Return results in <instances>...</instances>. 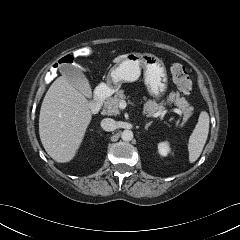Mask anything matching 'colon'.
I'll use <instances>...</instances> for the list:
<instances>
[{
    "label": "colon",
    "instance_id": "obj_1",
    "mask_svg": "<svg viewBox=\"0 0 240 240\" xmlns=\"http://www.w3.org/2000/svg\"><path fill=\"white\" fill-rule=\"evenodd\" d=\"M92 55V49L83 47L75 50L72 54L62 57L55 67L73 63L76 57H88ZM171 74L175 85L182 94H189L192 91V81L186 68L180 63H173L171 65Z\"/></svg>",
    "mask_w": 240,
    "mask_h": 240
}]
</instances>
